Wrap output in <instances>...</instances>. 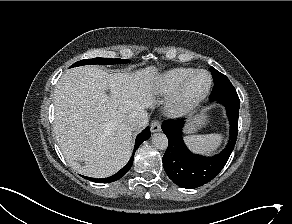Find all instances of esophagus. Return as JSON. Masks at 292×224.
Here are the masks:
<instances>
[{"label": "esophagus", "instance_id": "obj_1", "mask_svg": "<svg viewBox=\"0 0 292 224\" xmlns=\"http://www.w3.org/2000/svg\"><path fill=\"white\" fill-rule=\"evenodd\" d=\"M161 131V124L158 120H153L151 123V132H159Z\"/></svg>", "mask_w": 292, "mask_h": 224}]
</instances>
